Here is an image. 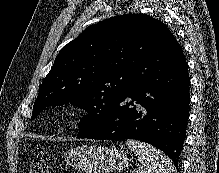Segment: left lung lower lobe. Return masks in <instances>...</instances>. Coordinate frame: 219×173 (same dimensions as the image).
Returning a JSON list of instances; mask_svg holds the SVG:
<instances>
[{
  "mask_svg": "<svg viewBox=\"0 0 219 173\" xmlns=\"http://www.w3.org/2000/svg\"><path fill=\"white\" fill-rule=\"evenodd\" d=\"M190 78L182 46L172 33L134 68L132 88L107 121L78 138L147 142L178 165L189 116Z\"/></svg>",
  "mask_w": 219,
  "mask_h": 173,
  "instance_id": "1",
  "label": "left lung lower lobe"
}]
</instances>
